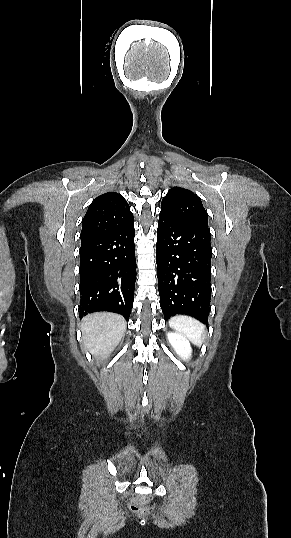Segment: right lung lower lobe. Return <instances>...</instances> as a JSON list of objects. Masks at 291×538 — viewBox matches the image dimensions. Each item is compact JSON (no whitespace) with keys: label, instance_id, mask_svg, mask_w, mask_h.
I'll use <instances>...</instances> for the list:
<instances>
[{"label":"right lung lower lobe","instance_id":"obj_1","mask_svg":"<svg viewBox=\"0 0 291 538\" xmlns=\"http://www.w3.org/2000/svg\"><path fill=\"white\" fill-rule=\"evenodd\" d=\"M134 237L133 221L117 231L81 242V317L109 311L129 318L136 281Z\"/></svg>","mask_w":291,"mask_h":538}]
</instances>
